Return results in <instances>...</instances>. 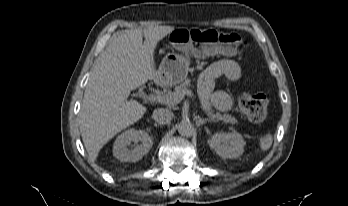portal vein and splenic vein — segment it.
<instances>
[{"mask_svg":"<svg viewBox=\"0 0 348 206\" xmlns=\"http://www.w3.org/2000/svg\"><path fill=\"white\" fill-rule=\"evenodd\" d=\"M186 96H190V97H194V94L191 90H185L182 92H169L165 95H158L156 97V99L158 100V102L160 103H165V104H178L180 103L184 97Z\"/></svg>","mask_w":348,"mask_h":206,"instance_id":"1","label":"portal vein and splenic vein"}]
</instances>
